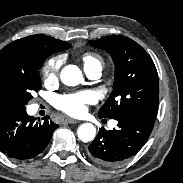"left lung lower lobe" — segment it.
I'll use <instances>...</instances> for the list:
<instances>
[{
	"label": "left lung lower lobe",
	"mask_w": 183,
	"mask_h": 183,
	"mask_svg": "<svg viewBox=\"0 0 183 183\" xmlns=\"http://www.w3.org/2000/svg\"><path fill=\"white\" fill-rule=\"evenodd\" d=\"M114 119L118 127L109 131L100 129L87 151L91 160L103 166H115L135 155L148 140L155 122L137 114H123Z\"/></svg>",
	"instance_id": "obj_1"
}]
</instances>
